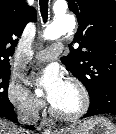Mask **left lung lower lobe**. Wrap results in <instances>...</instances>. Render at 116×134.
<instances>
[{"instance_id": "left-lung-lower-lobe-1", "label": "left lung lower lobe", "mask_w": 116, "mask_h": 134, "mask_svg": "<svg viewBox=\"0 0 116 134\" xmlns=\"http://www.w3.org/2000/svg\"><path fill=\"white\" fill-rule=\"evenodd\" d=\"M99 114H116V101L91 103L89 105L86 117Z\"/></svg>"}]
</instances>
